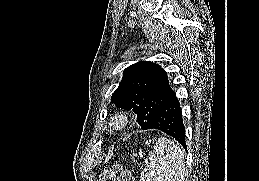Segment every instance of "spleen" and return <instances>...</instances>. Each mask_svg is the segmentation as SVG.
<instances>
[{
    "mask_svg": "<svg viewBox=\"0 0 259 181\" xmlns=\"http://www.w3.org/2000/svg\"><path fill=\"white\" fill-rule=\"evenodd\" d=\"M148 169L142 181H184L185 155L173 141L162 137L156 141L153 152L145 160Z\"/></svg>",
    "mask_w": 259,
    "mask_h": 181,
    "instance_id": "obj_1",
    "label": "spleen"
}]
</instances>
